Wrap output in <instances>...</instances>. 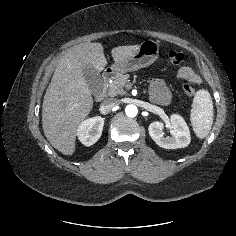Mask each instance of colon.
Instances as JSON below:
<instances>
[{
  "label": "colon",
  "instance_id": "5ec220e1",
  "mask_svg": "<svg viewBox=\"0 0 236 236\" xmlns=\"http://www.w3.org/2000/svg\"><path fill=\"white\" fill-rule=\"evenodd\" d=\"M168 59L172 64L178 65L184 61V54L179 50H170L168 52ZM182 89L187 96L191 97L195 94V89L188 82L183 83Z\"/></svg>",
  "mask_w": 236,
  "mask_h": 236
}]
</instances>
